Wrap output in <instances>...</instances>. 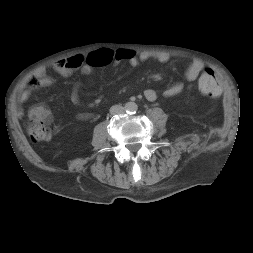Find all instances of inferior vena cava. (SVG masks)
Returning <instances> with one entry per match:
<instances>
[{"instance_id": "602c4592", "label": "inferior vena cava", "mask_w": 253, "mask_h": 253, "mask_svg": "<svg viewBox=\"0 0 253 253\" xmlns=\"http://www.w3.org/2000/svg\"><path fill=\"white\" fill-rule=\"evenodd\" d=\"M125 112V109L121 105H113L110 108V114L116 115V114H123Z\"/></svg>"}]
</instances>
